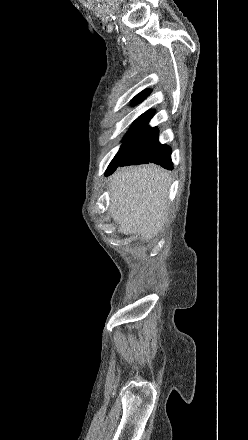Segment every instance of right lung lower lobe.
<instances>
[{"label": "right lung lower lobe", "mask_w": 248, "mask_h": 440, "mask_svg": "<svg viewBox=\"0 0 248 440\" xmlns=\"http://www.w3.org/2000/svg\"><path fill=\"white\" fill-rule=\"evenodd\" d=\"M148 122L139 127L128 139L123 160L119 166L154 163L173 170L171 148L158 141V129L151 128ZM112 173L106 174V176Z\"/></svg>", "instance_id": "1"}]
</instances>
